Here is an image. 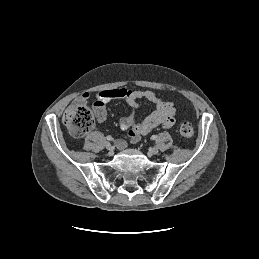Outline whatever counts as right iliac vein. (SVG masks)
<instances>
[{
	"label": "right iliac vein",
	"mask_w": 259,
	"mask_h": 259,
	"mask_svg": "<svg viewBox=\"0 0 259 259\" xmlns=\"http://www.w3.org/2000/svg\"><path fill=\"white\" fill-rule=\"evenodd\" d=\"M105 147H106V149L109 150V151H112V150H113V147H112V145H111L109 142H106V143H105Z\"/></svg>",
	"instance_id": "obj_1"
}]
</instances>
